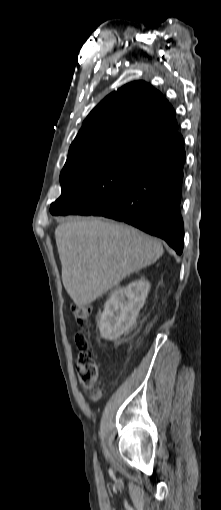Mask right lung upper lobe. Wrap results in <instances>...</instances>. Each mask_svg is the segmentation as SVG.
<instances>
[{"label":"right lung upper lobe","instance_id":"obj_1","mask_svg":"<svg viewBox=\"0 0 221 510\" xmlns=\"http://www.w3.org/2000/svg\"><path fill=\"white\" fill-rule=\"evenodd\" d=\"M179 136L170 103L151 85L135 81L109 94L90 112L67 161L128 146L151 151Z\"/></svg>","mask_w":221,"mask_h":510}]
</instances>
